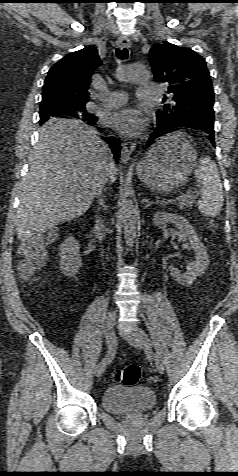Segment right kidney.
<instances>
[{"mask_svg": "<svg viewBox=\"0 0 238 476\" xmlns=\"http://www.w3.org/2000/svg\"><path fill=\"white\" fill-rule=\"evenodd\" d=\"M80 244L73 236L67 237L59 247L60 269L67 277L75 276L81 266Z\"/></svg>", "mask_w": 238, "mask_h": 476, "instance_id": "1", "label": "right kidney"}]
</instances>
